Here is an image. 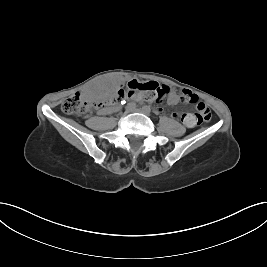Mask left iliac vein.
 I'll use <instances>...</instances> for the list:
<instances>
[{
  "label": "left iliac vein",
  "mask_w": 267,
  "mask_h": 267,
  "mask_svg": "<svg viewBox=\"0 0 267 267\" xmlns=\"http://www.w3.org/2000/svg\"><path fill=\"white\" fill-rule=\"evenodd\" d=\"M137 111H138V112H140V113H142V114H145V115H147V116H149V115H150V112H149V111H147V110H146V109H144V108L138 109Z\"/></svg>",
  "instance_id": "left-iliac-vein-1"
}]
</instances>
